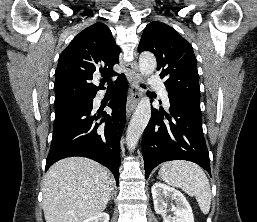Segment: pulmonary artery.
<instances>
[{"label":"pulmonary artery","mask_w":257,"mask_h":222,"mask_svg":"<svg viewBox=\"0 0 257 222\" xmlns=\"http://www.w3.org/2000/svg\"><path fill=\"white\" fill-rule=\"evenodd\" d=\"M148 83L150 84V86L158 89V92H159L160 96L162 97L165 105L169 106V100H168L167 92H166L163 82L156 76L150 75L148 77Z\"/></svg>","instance_id":"pulmonary-artery-1"}]
</instances>
